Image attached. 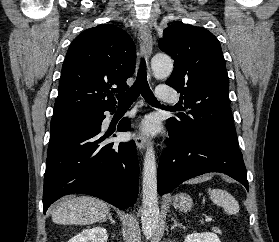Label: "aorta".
<instances>
[{
    "instance_id": "obj_1",
    "label": "aorta",
    "mask_w": 279,
    "mask_h": 242,
    "mask_svg": "<svg viewBox=\"0 0 279 242\" xmlns=\"http://www.w3.org/2000/svg\"><path fill=\"white\" fill-rule=\"evenodd\" d=\"M151 66L157 78H166L173 71L172 59L164 54L155 55ZM143 165L141 223L144 235L150 238L156 232L159 222L156 158L151 145L147 147Z\"/></svg>"
}]
</instances>
